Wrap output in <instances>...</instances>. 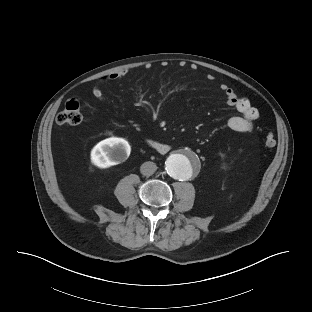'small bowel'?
<instances>
[{
  "mask_svg": "<svg viewBox=\"0 0 312 312\" xmlns=\"http://www.w3.org/2000/svg\"><path fill=\"white\" fill-rule=\"evenodd\" d=\"M127 73V70H120L102 76L92 88L93 96L100 101H105L106 98L102 85L123 78ZM208 78L212 79L213 76L209 75ZM220 89L225 94L226 104L235 108L240 113L239 116H233L228 120L229 128L239 133L250 132L253 129L254 123L259 118V111L257 108L253 107L246 97L238 96L228 85L221 84Z\"/></svg>",
  "mask_w": 312,
  "mask_h": 312,
  "instance_id": "obj_1",
  "label": "small bowel"
}]
</instances>
